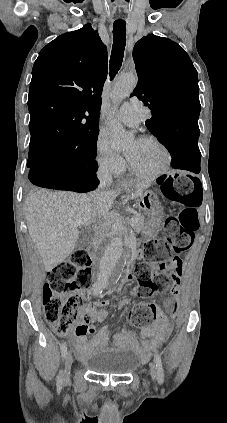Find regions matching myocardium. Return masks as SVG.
<instances>
[{"instance_id": "1", "label": "myocardium", "mask_w": 227, "mask_h": 423, "mask_svg": "<svg viewBox=\"0 0 227 423\" xmlns=\"http://www.w3.org/2000/svg\"><path fill=\"white\" fill-rule=\"evenodd\" d=\"M137 141L141 142V143H154V144L158 145L164 153V162L161 165V167L159 169H157L156 171L150 172V173H144V172L138 171L134 167V165L132 164L130 159L127 158L128 163H129V169H130L131 173L134 174L135 176L140 177V178L149 179V180H155V179L160 178L161 176L165 175L169 171V169L172 165V153H171L168 145L162 139H160L159 137L154 136V135L142 136V137L138 138Z\"/></svg>"}]
</instances>
